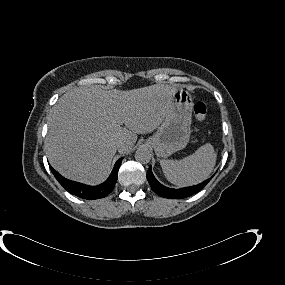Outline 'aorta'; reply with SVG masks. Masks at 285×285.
<instances>
[{"mask_svg": "<svg viewBox=\"0 0 285 285\" xmlns=\"http://www.w3.org/2000/svg\"><path fill=\"white\" fill-rule=\"evenodd\" d=\"M135 159L142 164H147L151 160V153L146 148H140L135 152Z\"/></svg>", "mask_w": 285, "mask_h": 285, "instance_id": "aorta-1", "label": "aorta"}]
</instances>
